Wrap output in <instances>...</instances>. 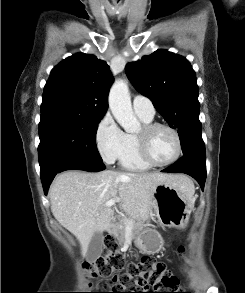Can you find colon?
<instances>
[{
	"label": "colon",
	"instance_id": "1",
	"mask_svg": "<svg viewBox=\"0 0 245 293\" xmlns=\"http://www.w3.org/2000/svg\"><path fill=\"white\" fill-rule=\"evenodd\" d=\"M183 223L180 222L178 225ZM103 243V255L88 263L86 272L88 278L107 279V292L90 293H191L179 288L177 278L168 271L164 263L145 256L138 262L125 264V259L117 250V243L113 237H106ZM179 252L184 254L185 249L180 248ZM160 286L177 292H155Z\"/></svg>",
	"mask_w": 245,
	"mask_h": 293
}]
</instances>
